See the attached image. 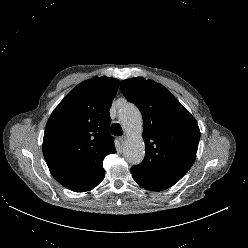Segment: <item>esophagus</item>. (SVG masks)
I'll return each mask as SVG.
<instances>
[{
  "label": "esophagus",
  "mask_w": 248,
  "mask_h": 248,
  "mask_svg": "<svg viewBox=\"0 0 248 248\" xmlns=\"http://www.w3.org/2000/svg\"><path fill=\"white\" fill-rule=\"evenodd\" d=\"M126 138H127L126 136H121V137H119L118 140H119V142H120L121 145H123V144L125 143Z\"/></svg>",
  "instance_id": "34e87169"
}]
</instances>
